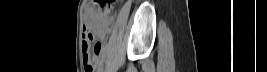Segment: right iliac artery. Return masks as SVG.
Listing matches in <instances>:
<instances>
[{
	"label": "right iliac artery",
	"mask_w": 267,
	"mask_h": 72,
	"mask_svg": "<svg viewBox=\"0 0 267 72\" xmlns=\"http://www.w3.org/2000/svg\"><path fill=\"white\" fill-rule=\"evenodd\" d=\"M102 69H103V63L100 62V64L98 65L97 72H101Z\"/></svg>",
	"instance_id": "82829eb1"
}]
</instances>
